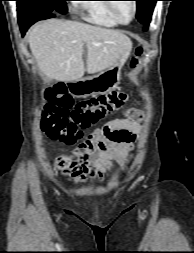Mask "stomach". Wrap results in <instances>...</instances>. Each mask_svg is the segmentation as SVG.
Wrapping results in <instances>:
<instances>
[{
  "label": "stomach",
  "mask_w": 194,
  "mask_h": 253,
  "mask_svg": "<svg viewBox=\"0 0 194 253\" xmlns=\"http://www.w3.org/2000/svg\"><path fill=\"white\" fill-rule=\"evenodd\" d=\"M126 58L119 57L115 63L94 76L69 82V91L75 97H88L94 94L108 93L120 83L121 68Z\"/></svg>",
  "instance_id": "0dacf381"
}]
</instances>
